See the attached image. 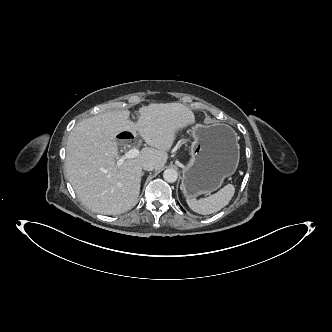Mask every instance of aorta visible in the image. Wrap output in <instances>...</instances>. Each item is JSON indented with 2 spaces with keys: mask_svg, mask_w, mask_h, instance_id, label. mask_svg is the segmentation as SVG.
I'll use <instances>...</instances> for the list:
<instances>
[{
  "mask_svg": "<svg viewBox=\"0 0 332 332\" xmlns=\"http://www.w3.org/2000/svg\"><path fill=\"white\" fill-rule=\"evenodd\" d=\"M163 178L169 183H174L177 181L178 173L175 169H166L163 173Z\"/></svg>",
  "mask_w": 332,
  "mask_h": 332,
  "instance_id": "obj_1",
  "label": "aorta"
}]
</instances>
